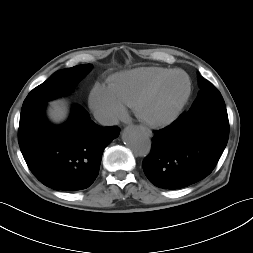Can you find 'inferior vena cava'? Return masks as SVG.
Returning a JSON list of instances; mask_svg holds the SVG:
<instances>
[{"instance_id": "602c4592", "label": "inferior vena cava", "mask_w": 253, "mask_h": 253, "mask_svg": "<svg viewBox=\"0 0 253 253\" xmlns=\"http://www.w3.org/2000/svg\"><path fill=\"white\" fill-rule=\"evenodd\" d=\"M95 119L102 125L104 126H111V125H116L118 124V119L117 117L109 112L105 111H96L94 113Z\"/></svg>"}]
</instances>
